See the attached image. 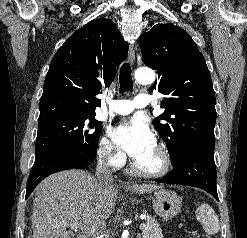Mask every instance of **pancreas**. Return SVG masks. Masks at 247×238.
Here are the masks:
<instances>
[{
	"mask_svg": "<svg viewBox=\"0 0 247 238\" xmlns=\"http://www.w3.org/2000/svg\"><path fill=\"white\" fill-rule=\"evenodd\" d=\"M143 238H163L160 225L155 219L147 218L143 228Z\"/></svg>",
	"mask_w": 247,
	"mask_h": 238,
	"instance_id": "cf45deb5",
	"label": "pancreas"
}]
</instances>
